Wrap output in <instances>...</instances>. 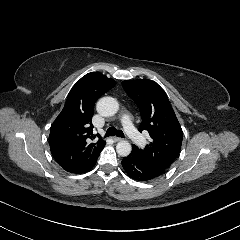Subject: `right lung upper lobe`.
<instances>
[{
	"instance_id": "cb5924a9",
	"label": "right lung upper lobe",
	"mask_w": 240,
	"mask_h": 240,
	"mask_svg": "<svg viewBox=\"0 0 240 240\" xmlns=\"http://www.w3.org/2000/svg\"><path fill=\"white\" fill-rule=\"evenodd\" d=\"M115 81L99 72L82 77L71 89L64 108L51 126L50 150L58 164L71 173H85L95 164L106 142L95 139L92 117L96 100Z\"/></svg>"
}]
</instances>
